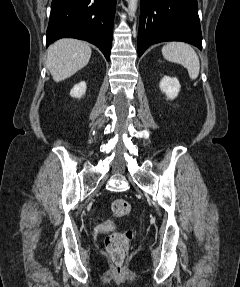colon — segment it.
<instances>
[{"mask_svg":"<svg viewBox=\"0 0 240 287\" xmlns=\"http://www.w3.org/2000/svg\"><path fill=\"white\" fill-rule=\"evenodd\" d=\"M131 210L130 204L124 199H117L111 205V212L116 217L126 216ZM133 232H115L105 238V248L111 261L120 270L128 255Z\"/></svg>","mask_w":240,"mask_h":287,"instance_id":"colon-1","label":"colon"}]
</instances>
